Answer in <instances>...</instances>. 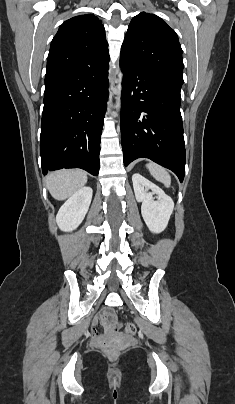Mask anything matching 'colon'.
Here are the masks:
<instances>
[{"label":"colon","mask_w":235,"mask_h":404,"mask_svg":"<svg viewBox=\"0 0 235 404\" xmlns=\"http://www.w3.org/2000/svg\"><path fill=\"white\" fill-rule=\"evenodd\" d=\"M103 316L108 320V327L111 332L117 331L120 327L119 322L111 309H105L103 312ZM124 330L128 334H134L136 332V327L133 323H126L124 326Z\"/></svg>","instance_id":"1"}]
</instances>
